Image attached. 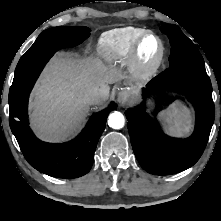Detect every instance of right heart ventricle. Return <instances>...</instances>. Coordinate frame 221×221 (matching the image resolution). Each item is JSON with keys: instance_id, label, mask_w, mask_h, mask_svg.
<instances>
[{"instance_id": "e07e8e85", "label": "right heart ventricle", "mask_w": 221, "mask_h": 221, "mask_svg": "<svg viewBox=\"0 0 221 221\" xmlns=\"http://www.w3.org/2000/svg\"><path fill=\"white\" fill-rule=\"evenodd\" d=\"M146 31L139 27H125L107 32L99 41V50L110 62H126L131 57L137 40Z\"/></svg>"}]
</instances>
